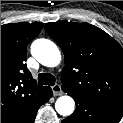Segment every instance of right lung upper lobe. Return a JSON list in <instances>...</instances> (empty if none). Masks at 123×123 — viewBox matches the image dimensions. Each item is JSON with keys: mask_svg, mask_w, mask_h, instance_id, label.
Segmentation results:
<instances>
[{"mask_svg": "<svg viewBox=\"0 0 123 123\" xmlns=\"http://www.w3.org/2000/svg\"><path fill=\"white\" fill-rule=\"evenodd\" d=\"M43 24L1 25V123H12L40 101L47 87L37 86L25 64L26 46Z\"/></svg>", "mask_w": 123, "mask_h": 123, "instance_id": "1", "label": "right lung upper lobe"}]
</instances>
